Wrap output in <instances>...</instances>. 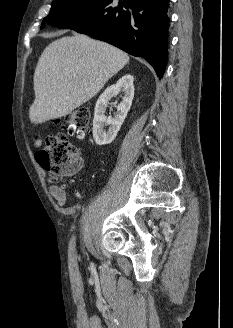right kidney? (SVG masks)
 Here are the masks:
<instances>
[{
	"instance_id": "obj_1",
	"label": "right kidney",
	"mask_w": 233,
	"mask_h": 328,
	"mask_svg": "<svg viewBox=\"0 0 233 328\" xmlns=\"http://www.w3.org/2000/svg\"><path fill=\"white\" fill-rule=\"evenodd\" d=\"M134 78L130 74L121 77L116 84L108 87L99 97L95 105L93 119V137L97 145L110 144L116 137L124 119L130 110L134 97ZM120 91L123 92V101L117 106V113L112 118L104 115L108 101ZM109 125L106 132L104 126Z\"/></svg>"
}]
</instances>
